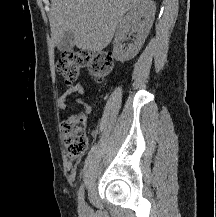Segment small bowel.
I'll list each match as a JSON object with an SVG mask.
<instances>
[{
    "mask_svg": "<svg viewBox=\"0 0 216 217\" xmlns=\"http://www.w3.org/2000/svg\"><path fill=\"white\" fill-rule=\"evenodd\" d=\"M85 93H86V88L84 87V85L80 83L68 87L58 100L59 109L65 110L70 106L72 102H74L82 106L85 112L90 113L91 107L80 98H75L74 100H70L75 95H82Z\"/></svg>",
    "mask_w": 216,
    "mask_h": 217,
    "instance_id": "c3829d8e",
    "label": "small bowel"
}]
</instances>
